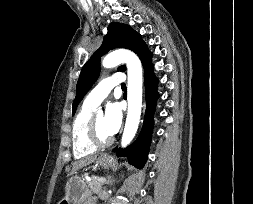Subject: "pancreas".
<instances>
[{"label": "pancreas", "instance_id": "obj_1", "mask_svg": "<svg viewBox=\"0 0 253 204\" xmlns=\"http://www.w3.org/2000/svg\"><path fill=\"white\" fill-rule=\"evenodd\" d=\"M97 177H92L91 181H87L89 193H99L102 189V183L96 180Z\"/></svg>", "mask_w": 253, "mask_h": 204}]
</instances>
